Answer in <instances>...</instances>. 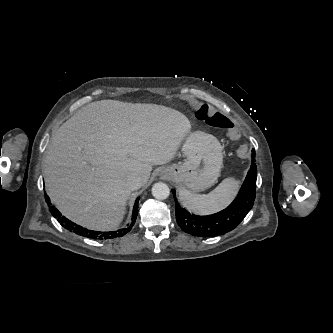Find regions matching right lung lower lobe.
<instances>
[{
	"label": "right lung lower lobe",
	"mask_w": 333,
	"mask_h": 333,
	"mask_svg": "<svg viewBox=\"0 0 333 333\" xmlns=\"http://www.w3.org/2000/svg\"><path fill=\"white\" fill-rule=\"evenodd\" d=\"M44 195H45L46 202L48 203L51 214L55 218H57L58 222L64 228H66L67 230L74 232L78 235L88 237L91 239L106 240V239H112V238L124 236L126 233H128L131 230L132 226L134 225V223L136 221L137 215H138L139 198H137L136 203L133 208L132 222L126 228H123V229H120L117 231H110V232L92 231V230L83 228L82 226H79V225L73 223L72 221L68 220L64 216H62L61 213L53 205H51L50 199L46 195V193Z\"/></svg>",
	"instance_id": "98d812e1"
}]
</instances>
